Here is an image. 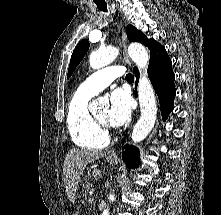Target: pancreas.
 I'll return each instance as SVG.
<instances>
[{"mask_svg":"<svg viewBox=\"0 0 221 215\" xmlns=\"http://www.w3.org/2000/svg\"><path fill=\"white\" fill-rule=\"evenodd\" d=\"M93 189V185L92 184H87L84 189L82 190V193H81V203L83 204H88L90 201H89V196H88V192L90 190Z\"/></svg>","mask_w":221,"mask_h":215,"instance_id":"obj_1","label":"pancreas"}]
</instances>
